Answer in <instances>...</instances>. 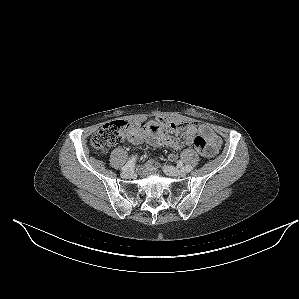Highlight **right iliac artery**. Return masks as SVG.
I'll use <instances>...</instances> for the list:
<instances>
[{"label":"right iliac artery","instance_id":"82829eb1","mask_svg":"<svg viewBox=\"0 0 299 299\" xmlns=\"http://www.w3.org/2000/svg\"><path fill=\"white\" fill-rule=\"evenodd\" d=\"M135 165V157H132L123 167H122V171H128L130 169H132Z\"/></svg>","mask_w":299,"mask_h":299}]
</instances>
